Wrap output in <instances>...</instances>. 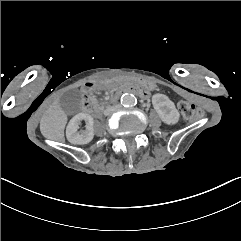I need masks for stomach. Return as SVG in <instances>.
<instances>
[{"instance_id":"1","label":"stomach","mask_w":241,"mask_h":241,"mask_svg":"<svg viewBox=\"0 0 241 241\" xmlns=\"http://www.w3.org/2000/svg\"><path fill=\"white\" fill-rule=\"evenodd\" d=\"M111 82L114 85H122V84L135 85V84H137V85L145 87L149 90H153L156 87V84L153 80H150L147 78L136 77L133 75H127V74H123V73L114 75L111 78Z\"/></svg>"}]
</instances>
